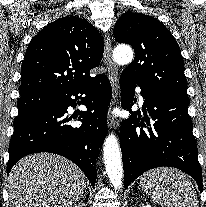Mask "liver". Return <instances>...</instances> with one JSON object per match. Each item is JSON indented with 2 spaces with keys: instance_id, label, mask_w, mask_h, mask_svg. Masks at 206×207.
<instances>
[{
  "instance_id": "6515ba94",
  "label": "liver",
  "mask_w": 206,
  "mask_h": 207,
  "mask_svg": "<svg viewBox=\"0 0 206 207\" xmlns=\"http://www.w3.org/2000/svg\"><path fill=\"white\" fill-rule=\"evenodd\" d=\"M85 188L83 172L66 158L50 153L22 158L8 178L12 207H71Z\"/></svg>"
}]
</instances>
